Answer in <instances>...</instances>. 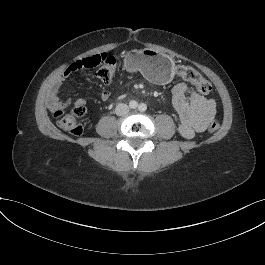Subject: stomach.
<instances>
[{
    "label": "stomach",
    "mask_w": 265,
    "mask_h": 265,
    "mask_svg": "<svg viewBox=\"0 0 265 265\" xmlns=\"http://www.w3.org/2000/svg\"><path fill=\"white\" fill-rule=\"evenodd\" d=\"M124 66L129 72L140 71L147 79L157 84H167L174 78L173 59L152 49L128 51Z\"/></svg>",
    "instance_id": "0dacf381"
}]
</instances>
